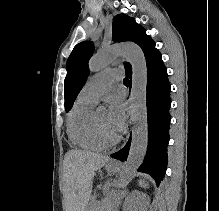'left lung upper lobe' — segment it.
<instances>
[{
    "label": "left lung upper lobe",
    "instance_id": "left-lung-upper-lobe-1",
    "mask_svg": "<svg viewBox=\"0 0 219 211\" xmlns=\"http://www.w3.org/2000/svg\"><path fill=\"white\" fill-rule=\"evenodd\" d=\"M112 35L115 42L132 41L138 44L147 58L155 50V42L146 34L145 29L137 24L133 18L124 14L114 17ZM94 51V44L91 41H84L77 44L71 52L66 69L67 75L64 81L65 109L70 110L73 103L82 89L88 77V61ZM126 73L131 72V65L124 64Z\"/></svg>",
    "mask_w": 219,
    "mask_h": 211
}]
</instances>
